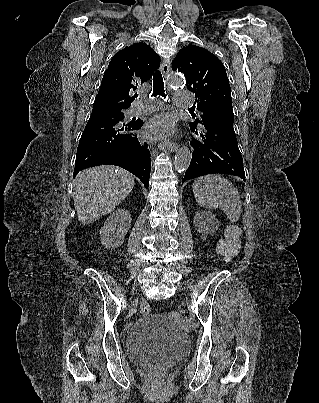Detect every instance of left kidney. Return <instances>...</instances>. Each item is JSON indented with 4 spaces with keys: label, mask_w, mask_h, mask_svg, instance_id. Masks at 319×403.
<instances>
[{
    "label": "left kidney",
    "mask_w": 319,
    "mask_h": 403,
    "mask_svg": "<svg viewBox=\"0 0 319 403\" xmlns=\"http://www.w3.org/2000/svg\"><path fill=\"white\" fill-rule=\"evenodd\" d=\"M194 221L197 230L202 234V238L213 232L218 224L217 219L210 212H198Z\"/></svg>",
    "instance_id": "obj_1"
}]
</instances>
